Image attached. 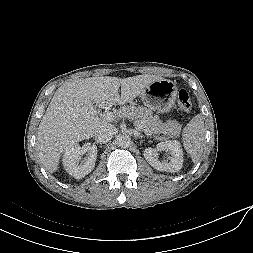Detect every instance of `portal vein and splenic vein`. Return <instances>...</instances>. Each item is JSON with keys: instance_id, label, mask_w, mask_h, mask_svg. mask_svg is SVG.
<instances>
[{"instance_id": "obj_1", "label": "portal vein and splenic vein", "mask_w": 253, "mask_h": 253, "mask_svg": "<svg viewBox=\"0 0 253 253\" xmlns=\"http://www.w3.org/2000/svg\"><path fill=\"white\" fill-rule=\"evenodd\" d=\"M102 118L105 120V121H113L116 116L113 112H109L107 111L106 113L103 114ZM138 129L139 130H142V128L140 126H138ZM144 133L147 135V136H151V131L149 129H143Z\"/></svg>"}]
</instances>
